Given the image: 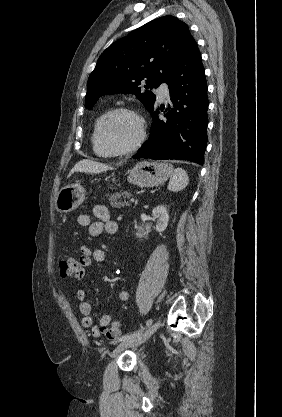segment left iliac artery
<instances>
[{"label":"left iliac artery","mask_w":282,"mask_h":417,"mask_svg":"<svg viewBox=\"0 0 282 417\" xmlns=\"http://www.w3.org/2000/svg\"><path fill=\"white\" fill-rule=\"evenodd\" d=\"M152 322H153V320H152V319H149V320L146 322V328L150 327V326H151V324H152ZM142 332H143V330L138 331V332H134V333H131V334L123 335V336H121V337L119 338V340H118V341H119V342H122V341L128 340V339H130V338H132V337H135V336L140 335Z\"/></svg>","instance_id":"left-iliac-artery-1"}]
</instances>
